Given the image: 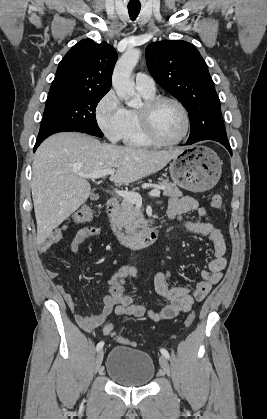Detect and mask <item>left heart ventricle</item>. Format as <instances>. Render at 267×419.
Wrapping results in <instances>:
<instances>
[{
	"instance_id": "b2bd125f",
	"label": "left heart ventricle",
	"mask_w": 267,
	"mask_h": 419,
	"mask_svg": "<svg viewBox=\"0 0 267 419\" xmlns=\"http://www.w3.org/2000/svg\"><path fill=\"white\" fill-rule=\"evenodd\" d=\"M153 122L159 137L166 141L176 140L184 130L183 114L171 102H164L159 105L154 113Z\"/></svg>"
}]
</instances>
